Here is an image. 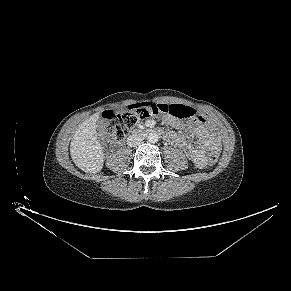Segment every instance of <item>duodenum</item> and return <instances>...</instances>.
I'll return each instance as SVG.
<instances>
[{"label":"duodenum","instance_id":"obj_1","mask_svg":"<svg viewBox=\"0 0 291 291\" xmlns=\"http://www.w3.org/2000/svg\"><path fill=\"white\" fill-rule=\"evenodd\" d=\"M157 132L156 130L153 129H149V128H143V129H139L136 131V134L138 135H148L151 133Z\"/></svg>","mask_w":291,"mask_h":291}]
</instances>
